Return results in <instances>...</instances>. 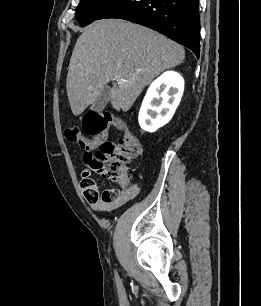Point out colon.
I'll return each mask as SVG.
<instances>
[{
    "label": "colon",
    "instance_id": "5ec220e1",
    "mask_svg": "<svg viewBox=\"0 0 261 306\" xmlns=\"http://www.w3.org/2000/svg\"><path fill=\"white\" fill-rule=\"evenodd\" d=\"M110 127L123 130V136L117 142L106 140ZM83 132L90 136H83L77 127H68L65 130L66 138L77 143L85 150L84 161L88 170L82 172L81 187L88 203L99 201L110 203L117 197V190H106L102 194L91 177L90 171L104 178L129 188L131 178L129 173L130 162L141 153L139 140L126 128L125 123L108 112H89L84 116Z\"/></svg>",
    "mask_w": 261,
    "mask_h": 306
}]
</instances>
